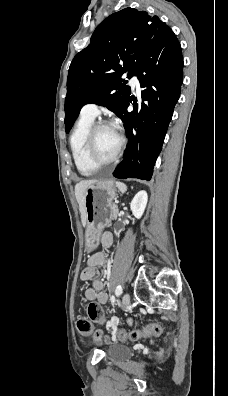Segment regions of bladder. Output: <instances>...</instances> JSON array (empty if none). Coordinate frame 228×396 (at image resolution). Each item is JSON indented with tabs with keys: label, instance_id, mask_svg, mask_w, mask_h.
<instances>
[{
	"label": "bladder",
	"instance_id": "bladder-1",
	"mask_svg": "<svg viewBox=\"0 0 228 396\" xmlns=\"http://www.w3.org/2000/svg\"><path fill=\"white\" fill-rule=\"evenodd\" d=\"M131 354V349L121 344H113L107 350V355L112 360H124L129 358Z\"/></svg>",
	"mask_w": 228,
	"mask_h": 396
}]
</instances>
